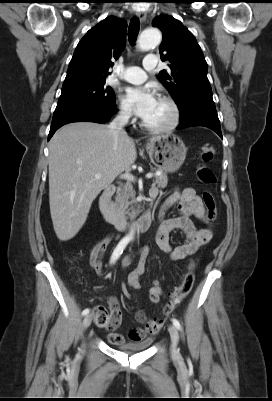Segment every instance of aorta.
<instances>
[{"label": "aorta", "instance_id": "aorta-1", "mask_svg": "<svg viewBox=\"0 0 272 401\" xmlns=\"http://www.w3.org/2000/svg\"><path fill=\"white\" fill-rule=\"evenodd\" d=\"M162 40L161 32L157 28H149L144 30L140 37H139V48L142 51H147L150 49L155 48L157 45L160 44ZM129 240L134 238V231L131 230L130 233L127 235Z\"/></svg>", "mask_w": 272, "mask_h": 401}]
</instances>
